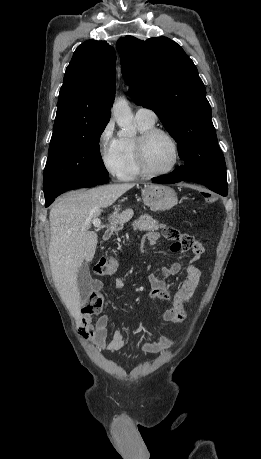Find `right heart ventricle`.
I'll return each instance as SVG.
<instances>
[{
  "instance_id": "1",
  "label": "right heart ventricle",
  "mask_w": 261,
  "mask_h": 459,
  "mask_svg": "<svg viewBox=\"0 0 261 459\" xmlns=\"http://www.w3.org/2000/svg\"><path fill=\"white\" fill-rule=\"evenodd\" d=\"M136 123L140 133L154 127L155 125V122H149L138 119H136ZM135 143L136 138L134 137L119 138V149L123 161V167L119 175L120 179L132 180L142 174L138 168L136 161Z\"/></svg>"
}]
</instances>
